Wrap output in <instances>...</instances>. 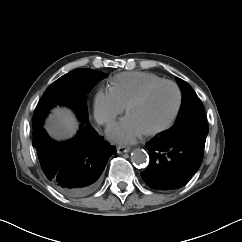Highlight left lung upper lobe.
Here are the masks:
<instances>
[{
    "label": "left lung upper lobe",
    "mask_w": 242,
    "mask_h": 242,
    "mask_svg": "<svg viewBox=\"0 0 242 242\" xmlns=\"http://www.w3.org/2000/svg\"><path fill=\"white\" fill-rule=\"evenodd\" d=\"M176 80L182 92V104L174 125L162 133L173 138L206 137L208 127L200 99L187 82L180 78Z\"/></svg>",
    "instance_id": "1"
}]
</instances>
